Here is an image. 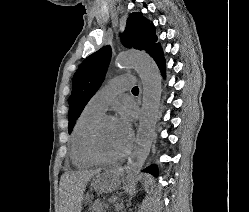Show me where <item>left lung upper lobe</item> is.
<instances>
[{
  "instance_id": "obj_1",
  "label": "left lung upper lobe",
  "mask_w": 249,
  "mask_h": 212,
  "mask_svg": "<svg viewBox=\"0 0 249 212\" xmlns=\"http://www.w3.org/2000/svg\"><path fill=\"white\" fill-rule=\"evenodd\" d=\"M156 41L154 25L141 13L130 14L123 34V44L128 48L145 50L154 58L162 51L160 44H157ZM110 59L111 48L105 46L88 56L74 74L73 89L69 98V133L73 130L85 105L104 81Z\"/></svg>"
}]
</instances>
